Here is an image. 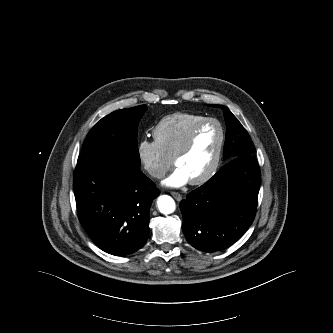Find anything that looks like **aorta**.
Instances as JSON below:
<instances>
[{"label":"aorta","mask_w":333,"mask_h":333,"mask_svg":"<svg viewBox=\"0 0 333 333\" xmlns=\"http://www.w3.org/2000/svg\"><path fill=\"white\" fill-rule=\"evenodd\" d=\"M158 209L162 214H171L175 211L176 205L172 197L168 195H162L157 201Z\"/></svg>","instance_id":"obj_1"}]
</instances>
